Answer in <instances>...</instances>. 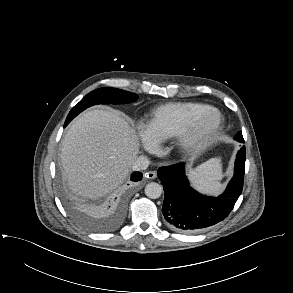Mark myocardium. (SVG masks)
Instances as JSON below:
<instances>
[{
  "label": "myocardium",
  "instance_id": "myocardium-1",
  "mask_svg": "<svg viewBox=\"0 0 293 293\" xmlns=\"http://www.w3.org/2000/svg\"><path fill=\"white\" fill-rule=\"evenodd\" d=\"M213 118L212 121L210 119ZM224 117L217 109H211L195 117L177 137L175 146L181 151H194L212 141L221 131Z\"/></svg>",
  "mask_w": 293,
  "mask_h": 293
}]
</instances>
